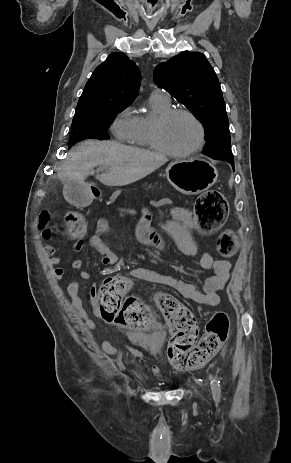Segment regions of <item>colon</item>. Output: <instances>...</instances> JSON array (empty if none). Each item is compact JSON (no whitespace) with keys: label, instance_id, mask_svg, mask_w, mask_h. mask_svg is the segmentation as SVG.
Segmentation results:
<instances>
[{"label":"colon","instance_id":"obj_1","mask_svg":"<svg viewBox=\"0 0 291 463\" xmlns=\"http://www.w3.org/2000/svg\"><path fill=\"white\" fill-rule=\"evenodd\" d=\"M228 202L218 190H209L198 197L194 212L182 205L171 209V216L165 220L170 226H189L196 231L211 232L219 228L228 215ZM51 212L42 211L39 229L45 238L53 233L63 232L79 237L86 231L84 216L79 212L66 214L64 223L50 225ZM235 238L232 231L223 232L218 239V251L224 257L235 253ZM133 282L124 275L107 278L98 289L97 299L101 316L109 322L128 324L138 331H145L154 324L150 308L137 297H128ZM154 302L169 319L173 335L170 339L167 357L178 370H192L204 365L216 354L229 333V319L223 312L216 313L206 324L199 341L198 326L193 313L167 293H157Z\"/></svg>","mask_w":291,"mask_h":463}]
</instances>
